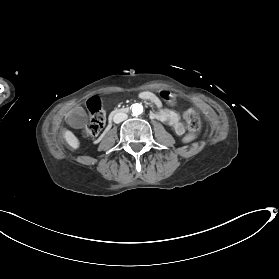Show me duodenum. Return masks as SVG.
I'll return each instance as SVG.
<instances>
[{"instance_id":"duodenum-1","label":"duodenum","mask_w":279,"mask_h":279,"mask_svg":"<svg viewBox=\"0 0 279 279\" xmlns=\"http://www.w3.org/2000/svg\"><path fill=\"white\" fill-rule=\"evenodd\" d=\"M124 114H130L132 112V109L130 107H124L123 109L121 107H118L117 109H113L111 112H109L106 116L105 119L106 124L103 127V130L96 136V138L94 139V142L96 144H99L104 137L107 135V132L110 130V128L113 126V121L111 120L114 116H117L118 114L121 113Z\"/></svg>"}]
</instances>
